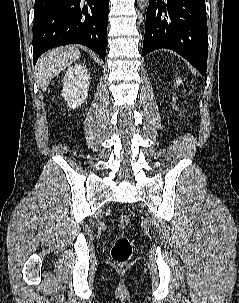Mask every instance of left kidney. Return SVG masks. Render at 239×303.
<instances>
[{
  "label": "left kidney",
  "mask_w": 239,
  "mask_h": 303,
  "mask_svg": "<svg viewBox=\"0 0 239 303\" xmlns=\"http://www.w3.org/2000/svg\"><path fill=\"white\" fill-rule=\"evenodd\" d=\"M177 85H180V83H182V80L181 79H177Z\"/></svg>",
  "instance_id": "1"
}]
</instances>
